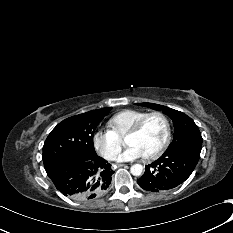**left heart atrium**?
Wrapping results in <instances>:
<instances>
[{
    "instance_id": "39dd6f15",
    "label": "left heart atrium",
    "mask_w": 233,
    "mask_h": 233,
    "mask_svg": "<svg viewBox=\"0 0 233 233\" xmlns=\"http://www.w3.org/2000/svg\"><path fill=\"white\" fill-rule=\"evenodd\" d=\"M145 153L136 145L129 144L125 150L117 157L118 161H133L138 158L144 157Z\"/></svg>"
}]
</instances>
